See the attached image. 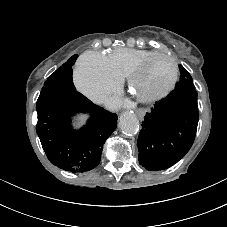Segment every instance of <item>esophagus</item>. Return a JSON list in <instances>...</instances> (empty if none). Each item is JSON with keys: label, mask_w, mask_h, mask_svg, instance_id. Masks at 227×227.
I'll return each mask as SVG.
<instances>
[{"label": "esophagus", "mask_w": 227, "mask_h": 227, "mask_svg": "<svg viewBox=\"0 0 227 227\" xmlns=\"http://www.w3.org/2000/svg\"><path fill=\"white\" fill-rule=\"evenodd\" d=\"M138 117L142 119L145 116V110H138L137 111Z\"/></svg>", "instance_id": "34e87169"}]
</instances>
